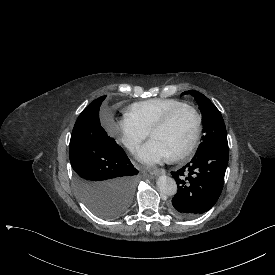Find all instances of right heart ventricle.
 Listing matches in <instances>:
<instances>
[{"label": "right heart ventricle", "instance_id": "1", "mask_svg": "<svg viewBox=\"0 0 275 275\" xmlns=\"http://www.w3.org/2000/svg\"><path fill=\"white\" fill-rule=\"evenodd\" d=\"M182 105L186 103L177 99L154 98L133 103L128 107L126 115L150 132L169 111Z\"/></svg>", "mask_w": 275, "mask_h": 275}]
</instances>
